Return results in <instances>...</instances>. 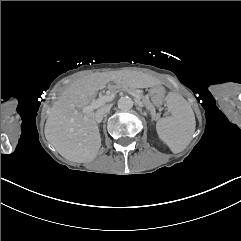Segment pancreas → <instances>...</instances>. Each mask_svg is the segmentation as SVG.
<instances>
[{
	"label": "pancreas",
	"instance_id": "pancreas-1",
	"mask_svg": "<svg viewBox=\"0 0 241 241\" xmlns=\"http://www.w3.org/2000/svg\"><path fill=\"white\" fill-rule=\"evenodd\" d=\"M125 88V87H124ZM128 89H130V90H132L133 92H137V95L138 96H142V102H144V104H145V106H147L148 108V111H149V113H154V108H153V106H151L150 104H151V102H150V100L148 99V97H146L145 95H143L142 93H140V92H138V91H136V90H133V88H128ZM131 95V94H130Z\"/></svg>",
	"mask_w": 241,
	"mask_h": 241
}]
</instances>
